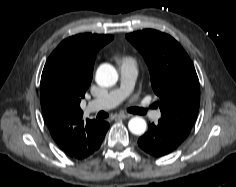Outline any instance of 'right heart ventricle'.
I'll return each mask as SVG.
<instances>
[{"instance_id":"obj_1","label":"right heart ventricle","mask_w":236,"mask_h":187,"mask_svg":"<svg viewBox=\"0 0 236 187\" xmlns=\"http://www.w3.org/2000/svg\"><path fill=\"white\" fill-rule=\"evenodd\" d=\"M123 62H133L134 63L132 58H126V59L123 60Z\"/></svg>"}]
</instances>
